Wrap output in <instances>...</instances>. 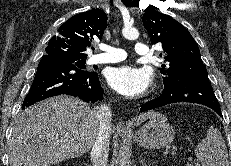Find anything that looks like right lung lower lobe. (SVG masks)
Listing matches in <instances>:
<instances>
[{
	"label": "right lung lower lobe",
	"instance_id": "98d812e1",
	"mask_svg": "<svg viewBox=\"0 0 231 166\" xmlns=\"http://www.w3.org/2000/svg\"><path fill=\"white\" fill-rule=\"evenodd\" d=\"M60 94L96 102L103 98L104 91L97 73L86 72L69 61L44 55L22 108Z\"/></svg>",
	"mask_w": 231,
	"mask_h": 166
}]
</instances>
